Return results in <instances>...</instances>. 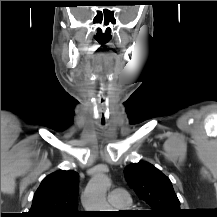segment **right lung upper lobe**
I'll return each instance as SVG.
<instances>
[{"label": "right lung upper lobe", "instance_id": "obj_1", "mask_svg": "<svg viewBox=\"0 0 217 217\" xmlns=\"http://www.w3.org/2000/svg\"><path fill=\"white\" fill-rule=\"evenodd\" d=\"M78 173L59 170L41 182L27 217L79 216L77 210Z\"/></svg>", "mask_w": 217, "mask_h": 217}]
</instances>
